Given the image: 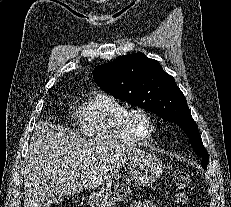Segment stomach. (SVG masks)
I'll return each instance as SVG.
<instances>
[{
	"label": "stomach",
	"mask_w": 231,
	"mask_h": 207,
	"mask_svg": "<svg viewBox=\"0 0 231 207\" xmlns=\"http://www.w3.org/2000/svg\"><path fill=\"white\" fill-rule=\"evenodd\" d=\"M162 172L163 165L158 156L139 152L130 158L129 176L115 174L105 182L101 190L91 193L88 202L91 207L114 206L124 201L131 193V181L141 186H149L160 177Z\"/></svg>",
	"instance_id": "stomach-1"
}]
</instances>
